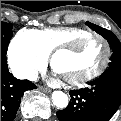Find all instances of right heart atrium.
Here are the masks:
<instances>
[{
	"mask_svg": "<svg viewBox=\"0 0 121 121\" xmlns=\"http://www.w3.org/2000/svg\"><path fill=\"white\" fill-rule=\"evenodd\" d=\"M46 57L32 44L21 43L15 37L9 47V63L21 77L33 78L44 67Z\"/></svg>",
	"mask_w": 121,
	"mask_h": 121,
	"instance_id": "1",
	"label": "right heart atrium"
}]
</instances>
